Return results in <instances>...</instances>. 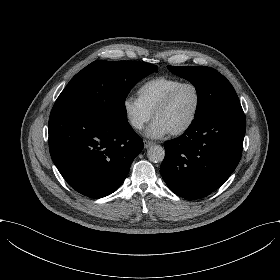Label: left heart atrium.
<instances>
[{"label":"left heart atrium","mask_w":280,"mask_h":280,"mask_svg":"<svg viewBox=\"0 0 280 280\" xmlns=\"http://www.w3.org/2000/svg\"><path fill=\"white\" fill-rule=\"evenodd\" d=\"M172 132L171 128L160 118H155L146 131V136L160 139Z\"/></svg>","instance_id":"39dd6f15"}]
</instances>
